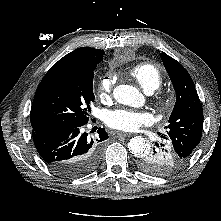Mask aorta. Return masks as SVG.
<instances>
[{
  "instance_id": "obj_1",
  "label": "aorta",
  "mask_w": 221,
  "mask_h": 221,
  "mask_svg": "<svg viewBox=\"0 0 221 221\" xmlns=\"http://www.w3.org/2000/svg\"><path fill=\"white\" fill-rule=\"evenodd\" d=\"M113 97L118 103L129 106H137L142 101V95L137 88L130 85H119L113 90ZM129 151L136 157H142L149 151L150 146L145 138L136 136L128 143Z\"/></svg>"
}]
</instances>
